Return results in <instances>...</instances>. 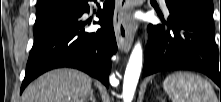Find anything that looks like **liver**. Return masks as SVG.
<instances>
[{"label": "liver", "instance_id": "6515ba94", "mask_svg": "<svg viewBox=\"0 0 221 102\" xmlns=\"http://www.w3.org/2000/svg\"><path fill=\"white\" fill-rule=\"evenodd\" d=\"M91 84V78L78 70H52L26 88L22 102H86Z\"/></svg>", "mask_w": 221, "mask_h": 102}]
</instances>
